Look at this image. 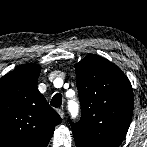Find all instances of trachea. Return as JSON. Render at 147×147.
<instances>
[{"mask_svg": "<svg viewBox=\"0 0 147 147\" xmlns=\"http://www.w3.org/2000/svg\"><path fill=\"white\" fill-rule=\"evenodd\" d=\"M62 104V95L60 93H56L52 100H51V105L55 108L60 107Z\"/></svg>", "mask_w": 147, "mask_h": 147, "instance_id": "1", "label": "trachea"}]
</instances>
